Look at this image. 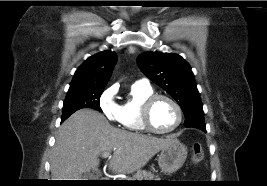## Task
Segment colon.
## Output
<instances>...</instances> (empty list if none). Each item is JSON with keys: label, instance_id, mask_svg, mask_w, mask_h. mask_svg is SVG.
<instances>
[{"label": "colon", "instance_id": "colon-1", "mask_svg": "<svg viewBox=\"0 0 267 186\" xmlns=\"http://www.w3.org/2000/svg\"><path fill=\"white\" fill-rule=\"evenodd\" d=\"M204 157V150L200 143L196 142L193 143L191 146V159L192 162L197 164L199 163Z\"/></svg>", "mask_w": 267, "mask_h": 186}]
</instances>
